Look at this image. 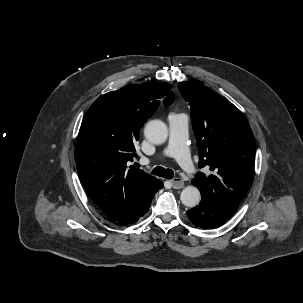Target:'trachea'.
<instances>
[{
	"instance_id": "3493384b",
	"label": "trachea",
	"mask_w": 303,
	"mask_h": 303,
	"mask_svg": "<svg viewBox=\"0 0 303 303\" xmlns=\"http://www.w3.org/2000/svg\"><path fill=\"white\" fill-rule=\"evenodd\" d=\"M152 174L166 178L172 179L174 176V172L172 169H165L163 167L157 166L152 170Z\"/></svg>"
}]
</instances>
